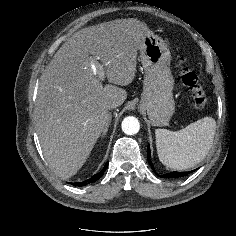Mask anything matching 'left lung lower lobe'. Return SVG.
<instances>
[{"label": "left lung lower lobe", "mask_w": 236, "mask_h": 236, "mask_svg": "<svg viewBox=\"0 0 236 236\" xmlns=\"http://www.w3.org/2000/svg\"><path fill=\"white\" fill-rule=\"evenodd\" d=\"M151 155H150V146L148 145L147 147V158H148V162L150 164V166L152 167V169L155 171L154 166L151 162L150 159ZM195 171V170H193ZM193 171H189V172H170V173H166L163 175H159L161 178H179V177H183L188 175L189 173L193 172Z\"/></svg>", "instance_id": "1"}]
</instances>
